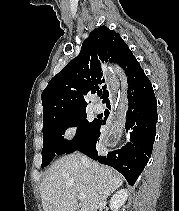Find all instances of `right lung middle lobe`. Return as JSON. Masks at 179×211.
<instances>
[{
	"mask_svg": "<svg viewBox=\"0 0 179 211\" xmlns=\"http://www.w3.org/2000/svg\"><path fill=\"white\" fill-rule=\"evenodd\" d=\"M86 116V111L81 110L55 117L43 125L42 168L56 155L72 153L89 139L98 120L89 122ZM71 126H78V130L73 140L68 141L62 135L65 129Z\"/></svg>",
	"mask_w": 179,
	"mask_h": 211,
	"instance_id": "obj_1",
	"label": "right lung middle lobe"
}]
</instances>
